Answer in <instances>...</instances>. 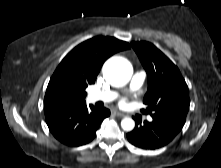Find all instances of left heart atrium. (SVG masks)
Listing matches in <instances>:
<instances>
[{
  "label": "left heart atrium",
  "mask_w": 221,
  "mask_h": 168,
  "mask_svg": "<svg viewBox=\"0 0 221 168\" xmlns=\"http://www.w3.org/2000/svg\"><path fill=\"white\" fill-rule=\"evenodd\" d=\"M120 104L125 105V100H122Z\"/></svg>",
  "instance_id": "left-heart-atrium-1"
}]
</instances>
